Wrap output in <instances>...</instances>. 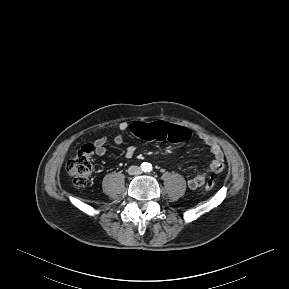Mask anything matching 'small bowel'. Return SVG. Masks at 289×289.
Instances as JSON below:
<instances>
[{"label": "small bowel", "instance_id": "1", "mask_svg": "<svg viewBox=\"0 0 289 289\" xmlns=\"http://www.w3.org/2000/svg\"><path fill=\"white\" fill-rule=\"evenodd\" d=\"M134 124V123H133ZM133 124H128L127 122H121L118 125L119 133L114 137L113 142L115 145H120L123 142V132L128 130ZM198 137L203 140V142L208 146L210 152L213 156V159L208 166V168L194 177L190 178L188 181V185L191 189H197L205 183L207 176L210 173H220L224 169V156L220 146L205 135L198 134ZM106 142L107 139L105 137H101L95 140L94 149L95 153L99 156H103L106 154ZM135 153V148L133 146H129L125 150V157L131 158Z\"/></svg>", "mask_w": 289, "mask_h": 289}]
</instances>
